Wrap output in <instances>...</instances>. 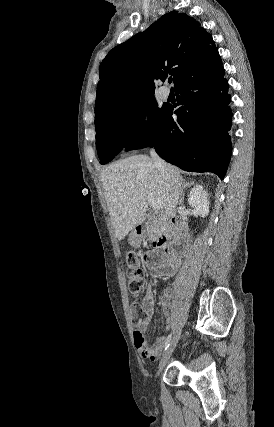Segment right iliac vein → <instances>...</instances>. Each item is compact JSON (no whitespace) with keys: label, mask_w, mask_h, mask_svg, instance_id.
<instances>
[{"label":"right iliac vein","mask_w":274,"mask_h":427,"mask_svg":"<svg viewBox=\"0 0 274 427\" xmlns=\"http://www.w3.org/2000/svg\"><path fill=\"white\" fill-rule=\"evenodd\" d=\"M180 335H181L180 331H178L174 335V337H173V339L171 341V344L169 345L168 349L166 350L165 354L163 355V357L161 359V362H160V365H159V370H158V373H157L156 377L160 376L163 368L168 363L170 357L172 356V353H173L174 349L176 348V346H177V344H178V342L180 340Z\"/></svg>","instance_id":"63e3f726"}]
</instances>
